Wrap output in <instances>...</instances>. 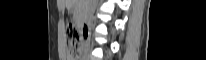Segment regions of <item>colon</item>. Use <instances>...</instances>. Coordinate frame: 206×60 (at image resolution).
Instances as JSON below:
<instances>
[{"mask_svg":"<svg viewBox=\"0 0 206 60\" xmlns=\"http://www.w3.org/2000/svg\"><path fill=\"white\" fill-rule=\"evenodd\" d=\"M68 60H77L83 48L84 38L79 34L77 27L69 24L66 28Z\"/></svg>","mask_w":206,"mask_h":60,"instance_id":"1","label":"colon"}]
</instances>
